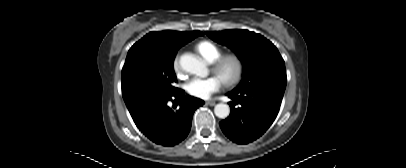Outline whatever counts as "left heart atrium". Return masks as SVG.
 <instances>
[{"label":"left heart atrium","instance_id":"39dd6f15","mask_svg":"<svg viewBox=\"0 0 406 168\" xmlns=\"http://www.w3.org/2000/svg\"><path fill=\"white\" fill-rule=\"evenodd\" d=\"M222 85L223 81L217 75L207 78L195 77L186 84V90L194 97L206 99L213 93L218 92Z\"/></svg>","mask_w":406,"mask_h":168}]
</instances>
